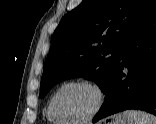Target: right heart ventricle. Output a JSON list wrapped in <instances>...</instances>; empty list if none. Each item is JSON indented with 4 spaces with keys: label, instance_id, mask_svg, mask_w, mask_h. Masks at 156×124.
<instances>
[{
    "label": "right heart ventricle",
    "instance_id": "obj_1",
    "mask_svg": "<svg viewBox=\"0 0 156 124\" xmlns=\"http://www.w3.org/2000/svg\"><path fill=\"white\" fill-rule=\"evenodd\" d=\"M50 102H51V99L49 100L48 102V105H47V108H46V117L47 119L51 122V123H54V124H66L64 121H62L61 119L59 118H56L52 111H51V108H50Z\"/></svg>",
    "mask_w": 156,
    "mask_h": 124
}]
</instances>
